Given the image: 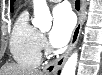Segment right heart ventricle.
Returning a JSON list of instances; mask_svg holds the SVG:
<instances>
[{
	"instance_id": "1",
	"label": "right heart ventricle",
	"mask_w": 102,
	"mask_h": 75,
	"mask_svg": "<svg viewBox=\"0 0 102 75\" xmlns=\"http://www.w3.org/2000/svg\"><path fill=\"white\" fill-rule=\"evenodd\" d=\"M41 33L29 22L27 11L17 18L11 38L10 52L13 59L24 66L36 67L41 60Z\"/></svg>"
}]
</instances>
